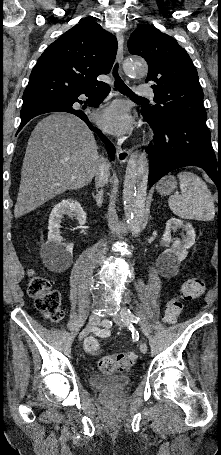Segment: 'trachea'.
<instances>
[{
  "mask_svg": "<svg viewBox=\"0 0 221 455\" xmlns=\"http://www.w3.org/2000/svg\"><path fill=\"white\" fill-rule=\"evenodd\" d=\"M113 77L115 79V82H114V85L116 87V89L124 94V95H128L130 97H134V98H139V99H146V98H143V97H140V96H137L134 92H132V90L123 82V80L120 78L119 74H118V64H116L113 68Z\"/></svg>",
  "mask_w": 221,
  "mask_h": 455,
  "instance_id": "trachea-1",
  "label": "trachea"
}]
</instances>
